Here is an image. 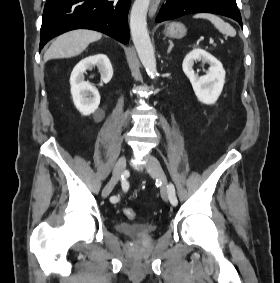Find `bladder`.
Returning a JSON list of instances; mask_svg holds the SVG:
<instances>
[{
	"label": "bladder",
	"instance_id": "31cf9c89",
	"mask_svg": "<svg viewBox=\"0 0 280 283\" xmlns=\"http://www.w3.org/2000/svg\"><path fill=\"white\" fill-rule=\"evenodd\" d=\"M115 227L119 233L135 239L147 238L151 236L156 230V226L151 223L117 222Z\"/></svg>",
	"mask_w": 280,
	"mask_h": 283
}]
</instances>
